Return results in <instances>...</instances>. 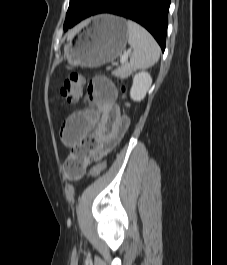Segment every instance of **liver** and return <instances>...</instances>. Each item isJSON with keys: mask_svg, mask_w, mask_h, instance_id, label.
I'll return each instance as SVG.
<instances>
[{"mask_svg": "<svg viewBox=\"0 0 227 265\" xmlns=\"http://www.w3.org/2000/svg\"><path fill=\"white\" fill-rule=\"evenodd\" d=\"M75 31L71 32L69 35H68V38H72V36L74 35Z\"/></svg>", "mask_w": 227, "mask_h": 265, "instance_id": "liver-1", "label": "liver"}]
</instances>
